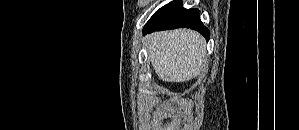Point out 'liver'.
Returning a JSON list of instances; mask_svg holds the SVG:
<instances>
[{"label":"liver","mask_w":299,"mask_h":130,"mask_svg":"<svg viewBox=\"0 0 299 130\" xmlns=\"http://www.w3.org/2000/svg\"><path fill=\"white\" fill-rule=\"evenodd\" d=\"M147 44L155 73L165 82L189 81L206 66L205 40L196 31L154 33L147 38Z\"/></svg>","instance_id":"6515ba94"}]
</instances>
